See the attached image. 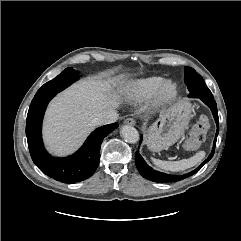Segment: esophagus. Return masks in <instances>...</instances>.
<instances>
[{"label": "esophagus", "instance_id": "34e87169", "mask_svg": "<svg viewBox=\"0 0 241 241\" xmlns=\"http://www.w3.org/2000/svg\"><path fill=\"white\" fill-rule=\"evenodd\" d=\"M136 121L133 118H127L124 120V124L134 126Z\"/></svg>", "mask_w": 241, "mask_h": 241}]
</instances>
